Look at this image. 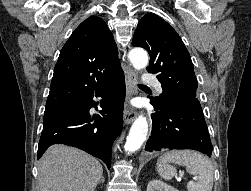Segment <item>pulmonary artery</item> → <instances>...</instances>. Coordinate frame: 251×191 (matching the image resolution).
Returning <instances> with one entry per match:
<instances>
[{"label": "pulmonary artery", "mask_w": 251, "mask_h": 191, "mask_svg": "<svg viewBox=\"0 0 251 191\" xmlns=\"http://www.w3.org/2000/svg\"><path fill=\"white\" fill-rule=\"evenodd\" d=\"M141 82H148L149 86H154L159 92L162 91L161 84L157 81L156 73H145V77H141Z\"/></svg>", "instance_id": "pulmonary-artery-1"}]
</instances>
